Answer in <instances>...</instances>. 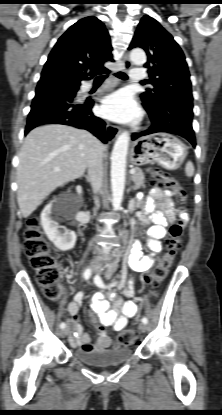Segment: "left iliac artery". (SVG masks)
Instances as JSON below:
<instances>
[{"label":"left iliac artery","instance_id":"44dca946","mask_svg":"<svg viewBox=\"0 0 222 415\" xmlns=\"http://www.w3.org/2000/svg\"><path fill=\"white\" fill-rule=\"evenodd\" d=\"M113 266H110L109 267V270H108V272H107V276L109 277L111 274H112V272H113ZM94 282H95V284L97 285V286H99V287H103V288H105L106 286H105V284H104V282L102 281V279L99 277V276H96L95 278H94ZM115 284L113 283V284H111L110 285V287H112V286H114ZM142 322L143 323H148V319L146 318V317H143L142 318Z\"/></svg>","mask_w":222,"mask_h":415}]
</instances>
